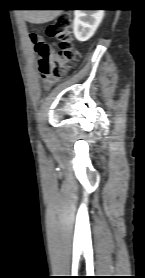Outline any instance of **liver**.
I'll use <instances>...</instances> for the list:
<instances>
[{"label": "liver", "instance_id": "obj_1", "mask_svg": "<svg viewBox=\"0 0 145 278\" xmlns=\"http://www.w3.org/2000/svg\"><path fill=\"white\" fill-rule=\"evenodd\" d=\"M61 10H23V17L33 24H43L61 15Z\"/></svg>", "mask_w": 145, "mask_h": 278}]
</instances>
